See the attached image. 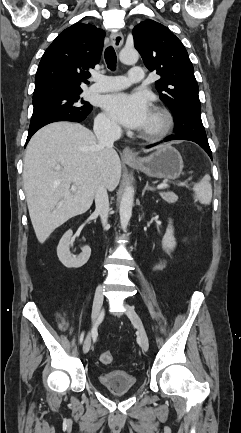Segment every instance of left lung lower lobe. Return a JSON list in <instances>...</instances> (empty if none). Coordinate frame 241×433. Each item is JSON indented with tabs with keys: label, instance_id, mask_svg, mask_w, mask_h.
I'll return each mask as SVG.
<instances>
[{
	"label": "left lung lower lobe",
	"instance_id": "left-lung-lower-lobe-1",
	"mask_svg": "<svg viewBox=\"0 0 241 433\" xmlns=\"http://www.w3.org/2000/svg\"><path fill=\"white\" fill-rule=\"evenodd\" d=\"M170 140H189V139H186V138H183V137H179V136H170V137L166 138L164 141H170ZM189 141H192V140H189ZM195 143L199 144L202 148H204L205 151L208 153V155L212 158V154H211V150H210L209 146L200 144L198 142H195ZM157 144L158 143L150 145L148 147H152V146L157 145Z\"/></svg>",
	"mask_w": 241,
	"mask_h": 433
}]
</instances>
